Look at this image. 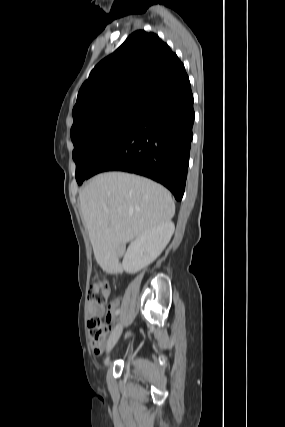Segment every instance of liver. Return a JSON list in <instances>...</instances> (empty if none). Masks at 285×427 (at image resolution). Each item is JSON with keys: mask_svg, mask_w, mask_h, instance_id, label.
<instances>
[{"mask_svg": "<svg viewBox=\"0 0 285 427\" xmlns=\"http://www.w3.org/2000/svg\"><path fill=\"white\" fill-rule=\"evenodd\" d=\"M80 210L97 263L118 267L121 248L175 214L171 194L140 176L106 172L79 192Z\"/></svg>", "mask_w": 285, "mask_h": 427, "instance_id": "6515ba94", "label": "liver"}]
</instances>
